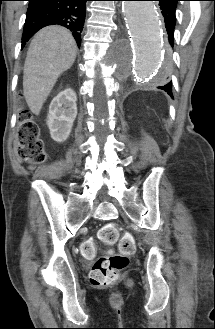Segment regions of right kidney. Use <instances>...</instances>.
Here are the masks:
<instances>
[{"mask_svg":"<svg viewBox=\"0 0 215 329\" xmlns=\"http://www.w3.org/2000/svg\"><path fill=\"white\" fill-rule=\"evenodd\" d=\"M77 96L74 90L61 91L50 103L47 125L53 140L65 141L77 116Z\"/></svg>","mask_w":215,"mask_h":329,"instance_id":"ca27d5eb","label":"right kidney"}]
</instances>
